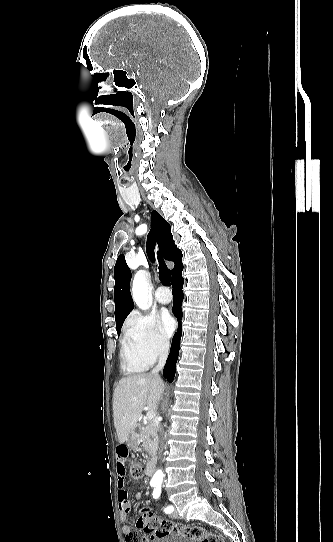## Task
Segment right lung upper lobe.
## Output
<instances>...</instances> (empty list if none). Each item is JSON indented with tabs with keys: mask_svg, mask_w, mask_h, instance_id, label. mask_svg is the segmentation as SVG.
I'll return each mask as SVG.
<instances>
[{
	"mask_svg": "<svg viewBox=\"0 0 333 542\" xmlns=\"http://www.w3.org/2000/svg\"><path fill=\"white\" fill-rule=\"evenodd\" d=\"M152 228L147 237V254L152 262L154 258V245L157 241L166 260L174 261L180 250L174 244L171 227L156 211H152ZM114 300L116 328L122 326L124 319L134 308L130 293L131 271L128 268L124 255H120L114 268Z\"/></svg>",
	"mask_w": 333,
	"mask_h": 542,
	"instance_id": "1",
	"label": "right lung upper lobe"
}]
</instances>
